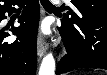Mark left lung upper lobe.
Instances as JSON below:
<instances>
[{"mask_svg": "<svg viewBox=\"0 0 107 75\" xmlns=\"http://www.w3.org/2000/svg\"><path fill=\"white\" fill-rule=\"evenodd\" d=\"M76 2L78 3V5L75 6L77 8L76 11L71 10L70 13L64 14L61 22L74 32L75 35H79L83 38L79 30L83 18L107 15V0H76ZM83 43L88 45V48L84 47L88 53L91 46L86 40Z\"/></svg>", "mask_w": 107, "mask_h": 75, "instance_id": "5c2ea615", "label": "left lung upper lobe"}]
</instances>
